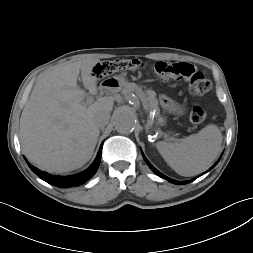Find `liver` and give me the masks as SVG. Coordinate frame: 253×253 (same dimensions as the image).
<instances>
[{"mask_svg":"<svg viewBox=\"0 0 253 253\" xmlns=\"http://www.w3.org/2000/svg\"><path fill=\"white\" fill-rule=\"evenodd\" d=\"M98 59L67 62L45 74L34 86L20 118V142L27 158L39 168L56 173L80 168L92 157L99 137L97 114H110L112 96L86 105L83 84L97 93L92 70Z\"/></svg>","mask_w":253,"mask_h":253,"instance_id":"6515ba94","label":"liver"}]
</instances>
